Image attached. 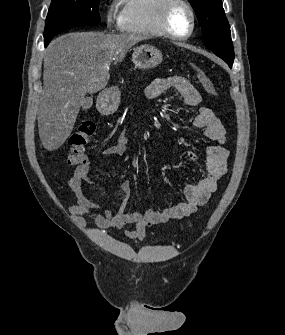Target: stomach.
I'll return each instance as SVG.
<instances>
[{
    "mask_svg": "<svg viewBox=\"0 0 285 335\" xmlns=\"http://www.w3.org/2000/svg\"><path fill=\"white\" fill-rule=\"evenodd\" d=\"M132 62L136 68H141V70H146V68H156L158 64L163 62V56L155 46H139L135 48L132 54ZM120 102V92L117 88H107L102 92L97 100V106L99 110H104V112H115L119 106Z\"/></svg>",
    "mask_w": 285,
    "mask_h": 335,
    "instance_id": "1",
    "label": "stomach"
}]
</instances>
